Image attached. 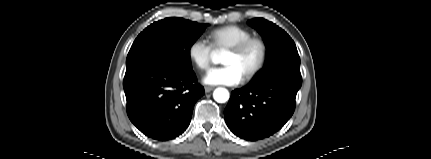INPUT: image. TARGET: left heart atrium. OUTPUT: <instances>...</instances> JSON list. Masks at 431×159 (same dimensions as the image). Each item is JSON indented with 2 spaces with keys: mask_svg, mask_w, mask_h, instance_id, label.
Segmentation results:
<instances>
[{
  "mask_svg": "<svg viewBox=\"0 0 431 159\" xmlns=\"http://www.w3.org/2000/svg\"><path fill=\"white\" fill-rule=\"evenodd\" d=\"M243 79L240 71L233 65H225L210 69L203 78L208 85H238Z\"/></svg>",
  "mask_w": 431,
  "mask_h": 159,
  "instance_id": "obj_1",
  "label": "left heart atrium"
}]
</instances>
